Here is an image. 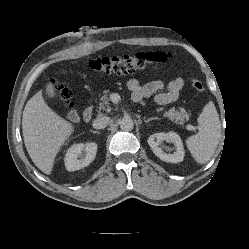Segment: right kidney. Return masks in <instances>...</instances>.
Here are the masks:
<instances>
[{
    "mask_svg": "<svg viewBox=\"0 0 249 249\" xmlns=\"http://www.w3.org/2000/svg\"><path fill=\"white\" fill-rule=\"evenodd\" d=\"M96 143H80L71 146L65 155V166L68 171H76L88 166L96 156Z\"/></svg>",
    "mask_w": 249,
    "mask_h": 249,
    "instance_id": "right-kidney-1",
    "label": "right kidney"
}]
</instances>
